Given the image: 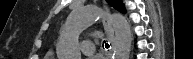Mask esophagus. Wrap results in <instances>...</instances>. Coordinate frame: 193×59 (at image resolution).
Returning a JSON list of instances; mask_svg holds the SVG:
<instances>
[{
  "label": "esophagus",
  "mask_w": 193,
  "mask_h": 59,
  "mask_svg": "<svg viewBox=\"0 0 193 59\" xmlns=\"http://www.w3.org/2000/svg\"><path fill=\"white\" fill-rule=\"evenodd\" d=\"M102 22H103L104 28L111 35V38L113 39V25L111 20L108 17H104ZM109 57H111V53L109 54Z\"/></svg>",
  "instance_id": "obj_1"
}]
</instances>
